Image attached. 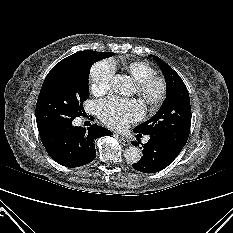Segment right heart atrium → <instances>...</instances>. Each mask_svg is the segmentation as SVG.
<instances>
[{
    "instance_id": "right-heart-atrium-1",
    "label": "right heart atrium",
    "mask_w": 233,
    "mask_h": 233,
    "mask_svg": "<svg viewBox=\"0 0 233 233\" xmlns=\"http://www.w3.org/2000/svg\"><path fill=\"white\" fill-rule=\"evenodd\" d=\"M116 67L110 60H101L95 63L90 70L91 90L100 96L107 93L112 86Z\"/></svg>"
}]
</instances>
